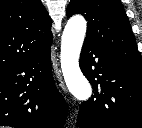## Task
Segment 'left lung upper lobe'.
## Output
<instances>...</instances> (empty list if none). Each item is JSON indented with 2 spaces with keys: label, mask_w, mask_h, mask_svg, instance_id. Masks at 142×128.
<instances>
[{
  "label": "left lung upper lobe",
  "mask_w": 142,
  "mask_h": 128,
  "mask_svg": "<svg viewBox=\"0 0 142 128\" xmlns=\"http://www.w3.org/2000/svg\"><path fill=\"white\" fill-rule=\"evenodd\" d=\"M82 14L87 23L85 41L93 43L116 59L142 66L131 25L120 0H71L67 16Z\"/></svg>",
  "instance_id": "obj_1"
}]
</instances>
